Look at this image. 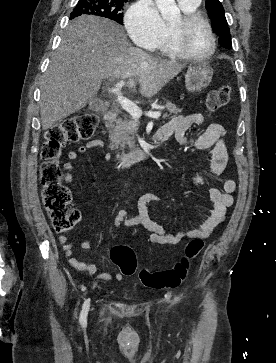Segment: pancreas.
I'll return each mask as SVG.
<instances>
[{
  "label": "pancreas",
  "instance_id": "1",
  "mask_svg": "<svg viewBox=\"0 0 276 363\" xmlns=\"http://www.w3.org/2000/svg\"><path fill=\"white\" fill-rule=\"evenodd\" d=\"M166 108L170 114L177 115L182 109L177 108L175 104L166 102ZM168 115H165L167 117ZM137 123L131 117L125 116L122 120L118 118L115 122L107 123L112 148L132 149L134 147V133Z\"/></svg>",
  "mask_w": 276,
  "mask_h": 363
}]
</instances>
